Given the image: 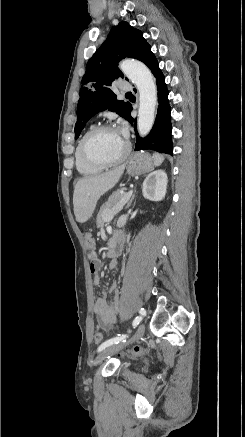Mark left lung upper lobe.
Returning a JSON list of instances; mask_svg holds the SVG:
<instances>
[{
  "label": "left lung upper lobe",
  "instance_id": "5c2ea615",
  "mask_svg": "<svg viewBox=\"0 0 245 437\" xmlns=\"http://www.w3.org/2000/svg\"><path fill=\"white\" fill-rule=\"evenodd\" d=\"M150 49L142 32L127 22H121L111 29L106 41L89 59L82 78L75 139L79 137L86 122L98 112L108 109L126 119L131 104L117 100L111 90L112 82L124 77L117 64L126 57L140 60Z\"/></svg>",
  "mask_w": 245,
  "mask_h": 437
}]
</instances>
